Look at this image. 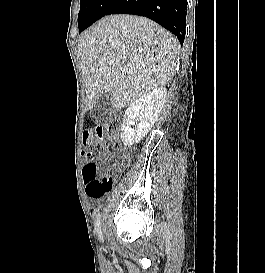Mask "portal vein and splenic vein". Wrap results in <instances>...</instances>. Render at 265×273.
Segmentation results:
<instances>
[{
	"label": "portal vein and splenic vein",
	"mask_w": 265,
	"mask_h": 273,
	"mask_svg": "<svg viewBox=\"0 0 265 273\" xmlns=\"http://www.w3.org/2000/svg\"><path fill=\"white\" fill-rule=\"evenodd\" d=\"M121 71L125 72V71H127V69L126 68H121Z\"/></svg>",
	"instance_id": "18ae733b"
}]
</instances>
